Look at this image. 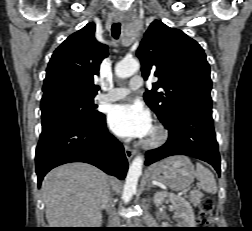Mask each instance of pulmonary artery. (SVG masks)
<instances>
[{
  "mask_svg": "<svg viewBox=\"0 0 252 231\" xmlns=\"http://www.w3.org/2000/svg\"><path fill=\"white\" fill-rule=\"evenodd\" d=\"M143 84L142 77L137 75L130 79L127 87L113 88L109 93L98 96L97 99L101 102H114L126 97L132 90L141 88Z\"/></svg>",
  "mask_w": 252,
  "mask_h": 231,
  "instance_id": "pulmonary-artery-1",
  "label": "pulmonary artery"
}]
</instances>
